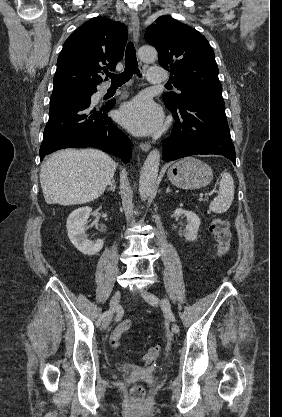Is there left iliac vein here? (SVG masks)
Masks as SVG:
<instances>
[{
	"label": "left iliac vein",
	"mask_w": 282,
	"mask_h": 417,
	"mask_svg": "<svg viewBox=\"0 0 282 417\" xmlns=\"http://www.w3.org/2000/svg\"><path fill=\"white\" fill-rule=\"evenodd\" d=\"M141 296L151 306L157 307L160 304L159 298L156 295H154L153 293H150V292H147V291H142ZM171 331L174 334H177L179 332V326L176 323H173L172 326H171Z\"/></svg>",
	"instance_id": "1"
}]
</instances>
